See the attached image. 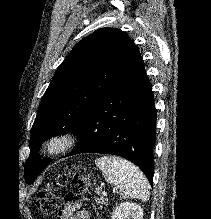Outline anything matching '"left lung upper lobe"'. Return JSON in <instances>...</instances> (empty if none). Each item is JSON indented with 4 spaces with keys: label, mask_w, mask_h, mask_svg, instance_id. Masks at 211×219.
<instances>
[{
    "label": "left lung upper lobe",
    "mask_w": 211,
    "mask_h": 219,
    "mask_svg": "<svg viewBox=\"0 0 211 219\" xmlns=\"http://www.w3.org/2000/svg\"><path fill=\"white\" fill-rule=\"evenodd\" d=\"M127 34L102 28L82 39L58 67L40 102L31 129L25 181L44 167L33 158L50 137L75 133L84 117L139 56Z\"/></svg>",
    "instance_id": "1"
}]
</instances>
